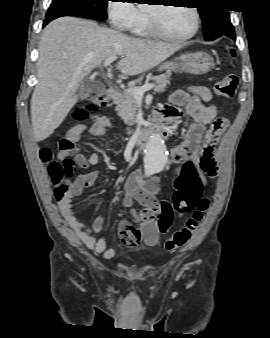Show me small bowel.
Here are the masks:
<instances>
[{
  "label": "small bowel",
  "mask_w": 270,
  "mask_h": 338,
  "mask_svg": "<svg viewBox=\"0 0 270 338\" xmlns=\"http://www.w3.org/2000/svg\"><path fill=\"white\" fill-rule=\"evenodd\" d=\"M184 107L186 112L192 117L191 124L186 134V139L181 144L176 145L171 150L172 158L177 162L174 169V176L178 183L186 181L189 175H201V151L205 147L212 149V158L214 147L224 130L213 128L217 116V108L212 101V92L205 86H191L187 90H176L170 95V103L159 108L157 114L169 125L167 135L173 133L171 123L180 119L182 113L179 108ZM212 124V128L206 131V126ZM111 126L107 117L98 118L90 127L84 124H77L71 127L66 134L73 143L70 150H61L58 154L59 159L70 158L75 165L82 169H87L89 165H96L100 160L99 153H92L87 159L77 143L82 134L87 131L91 136L102 139L106 130ZM217 170V169H216ZM99 174L96 170L79 174L70 186L62 191H56L55 198L59 209L68 222L69 226L77 233L82 242L96 254L102 255L105 259H111L115 256V249L107 247V235L96 236L102 229V220L96 218L93 221L92 229H87L76 216L73 210V199L82 194L85 188L94 185ZM160 182L152 179L148 182L143 181L142 173L139 170L132 172L125 183L123 205L130 207L133 201H137L145 208V213L154 215L161 210V205L155 201L153 196L160 190ZM133 219L138 223L140 233L134 228H128L126 223L119 224V236L121 241L131 247H136L143 240L147 245L157 244L160 233H166L171 227L173 219L166 225L163 221H153L144 219L143 215L134 210L131 211Z\"/></svg>",
  "instance_id": "small-bowel-1"
}]
</instances>
